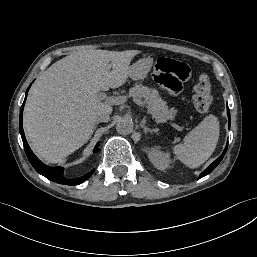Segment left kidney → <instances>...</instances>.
I'll list each match as a JSON object with an SVG mask.
<instances>
[{
	"label": "left kidney",
	"mask_w": 257,
	"mask_h": 257,
	"mask_svg": "<svg viewBox=\"0 0 257 257\" xmlns=\"http://www.w3.org/2000/svg\"><path fill=\"white\" fill-rule=\"evenodd\" d=\"M148 157L151 163L159 170H165L171 163L170 154L161 151L160 147H153L148 151Z\"/></svg>",
	"instance_id": "5707ae66"
}]
</instances>
